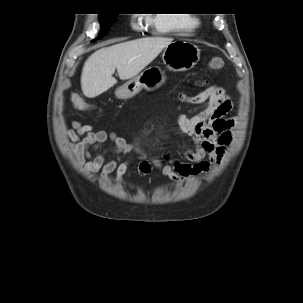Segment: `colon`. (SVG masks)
Returning <instances> with one entry per match:
<instances>
[{
	"label": "colon",
	"mask_w": 303,
	"mask_h": 303,
	"mask_svg": "<svg viewBox=\"0 0 303 303\" xmlns=\"http://www.w3.org/2000/svg\"><path fill=\"white\" fill-rule=\"evenodd\" d=\"M224 61L221 58H212L208 64L207 68L209 70H218L223 68ZM72 102L75 108L79 110H89L92 108L90 104H88L82 97L80 96H74L72 98Z\"/></svg>",
	"instance_id": "5ec220e1"
}]
</instances>
